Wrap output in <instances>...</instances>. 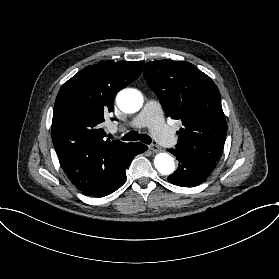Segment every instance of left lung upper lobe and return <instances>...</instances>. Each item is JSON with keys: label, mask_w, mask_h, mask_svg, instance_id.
Listing matches in <instances>:
<instances>
[{"label": "left lung upper lobe", "mask_w": 279, "mask_h": 279, "mask_svg": "<svg viewBox=\"0 0 279 279\" xmlns=\"http://www.w3.org/2000/svg\"><path fill=\"white\" fill-rule=\"evenodd\" d=\"M144 77L166 115L182 120L176 148L217 161L223 151L227 123L212 79L189 62L172 60L146 63Z\"/></svg>", "instance_id": "left-lung-upper-lobe-1"}]
</instances>
